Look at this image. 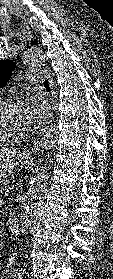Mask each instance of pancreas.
Here are the masks:
<instances>
[{
	"label": "pancreas",
	"mask_w": 113,
	"mask_h": 279,
	"mask_svg": "<svg viewBox=\"0 0 113 279\" xmlns=\"http://www.w3.org/2000/svg\"><path fill=\"white\" fill-rule=\"evenodd\" d=\"M7 183L8 181L7 180H4L2 182V185H1V189H0V193H2L3 195H6L9 191H8V187H7Z\"/></svg>",
	"instance_id": "obj_1"
}]
</instances>
